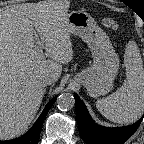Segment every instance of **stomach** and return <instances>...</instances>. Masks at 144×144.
I'll return each mask as SVG.
<instances>
[{"label":"stomach","instance_id":"obj_1","mask_svg":"<svg viewBox=\"0 0 144 144\" xmlns=\"http://www.w3.org/2000/svg\"><path fill=\"white\" fill-rule=\"evenodd\" d=\"M70 33L80 37L90 48L93 63L76 73L73 80L86 87L91 96H103L113 89L120 69V59L108 34L85 10L72 11L68 16Z\"/></svg>","mask_w":144,"mask_h":144}]
</instances>
